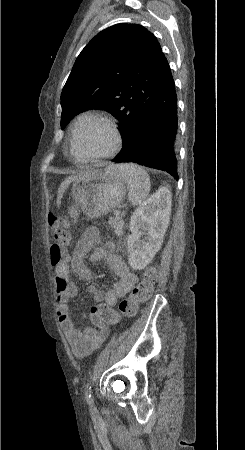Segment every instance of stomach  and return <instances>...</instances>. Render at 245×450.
Wrapping results in <instances>:
<instances>
[{
  "label": "stomach",
  "instance_id": "0dacf381",
  "mask_svg": "<svg viewBox=\"0 0 245 450\" xmlns=\"http://www.w3.org/2000/svg\"><path fill=\"white\" fill-rule=\"evenodd\" d=\"M126 184L116 166L95 170L73 181L69 214L77 219L80 212L95 219L117 208L125 199Z\"/></svg>",
  "mask_w": 245,
  "mask_h": 450
}]
</instances>
